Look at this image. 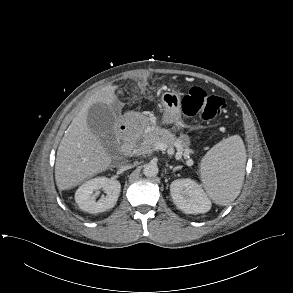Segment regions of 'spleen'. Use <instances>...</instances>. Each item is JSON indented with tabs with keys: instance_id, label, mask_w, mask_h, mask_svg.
<instances>
[{
	"instance_id": "obj_1",
	"label": "spleen",
	"mask_w": 293,
	"mask_h": 293,
	"mask_svg": "<svg viewBox=\"0 0 293 293\" xmlns=\"http://www.w3.org/2000/svg\"><path fill=\"white\" fill-rule=\"evenodd\" d=\"M246 150L238 135L223 139L203 157L200 177L210 198L228 205L239 195L244 181Z\"/></svg>"
}]
</instances>
